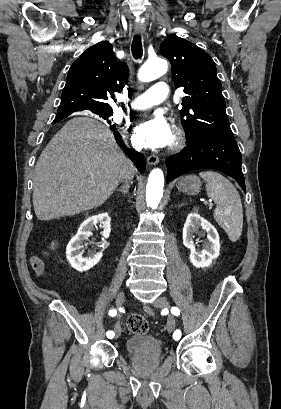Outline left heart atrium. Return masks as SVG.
<instances>
[{"label": "left heart atrium", "instance_id": "39dd6f15", "mask_svg": "<svg viewBox=\"0 0 281 409\" xmlns=\"http://www.w3.org/2000/svg\"><path fill=\"white\" fill-rule=\"evenodd\" d=\"M136 140L148 148H164L172 139V130L167 120L157 116L143 122L136 129Z\"/></svg>", "mask_w": 281, "mask_h": 409}]
</instances>
